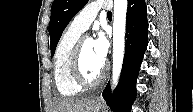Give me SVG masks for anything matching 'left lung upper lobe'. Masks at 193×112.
I'll return each mask as SVG.
<instances>
[{
  "label": "left lung upper lobe",
  "mask_w": 193,
  "mask_h": 112,
  "mask_svg": "<svg viewBox=\"0 0 193 112\" xmlns=\"http://www.w3.org/2000/svg\"><path fill=\"white\" fill-rule=\"evenodd\" d=\"M88 0H55L49 23L50 49L54 55L57 43L70 20L87 4Z\"/></svg>",
  "instance_id": "left-lung-upper-lobe-1"
}]
</instances>
